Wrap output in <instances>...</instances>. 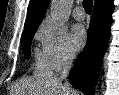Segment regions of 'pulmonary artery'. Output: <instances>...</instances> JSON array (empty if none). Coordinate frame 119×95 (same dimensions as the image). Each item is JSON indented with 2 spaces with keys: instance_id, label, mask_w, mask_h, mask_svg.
I'll list each match as a JSON object with an SVG mask.
<instances>
[{
  "instance_id": "1",
  "label": "pulmonary artery",
  "mask_w": 119,
  "mask_h": 95,
  "mask_svg": "<svg viewBox=\"0 0 119 95\" xmlns=\"http://www.w3.org/2000/svg\"><path fill=\"white\" fill-rule=\"evenodd\" d=\"M73 16L77 20H84L85 19V12L82 7L78 6L73 10Z\"/></svg>"
}]
</instances>
